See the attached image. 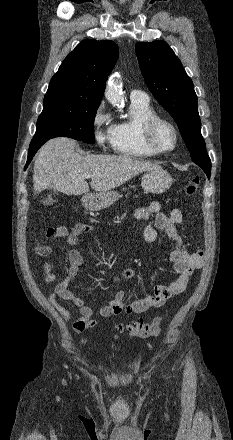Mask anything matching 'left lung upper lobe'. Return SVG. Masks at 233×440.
Masks as SVG:
<instances>
[{
	"mask_svg": "<svg viewBox=\"0 0 233 440\" xmlns=\"http://www.w3.org/2000/svg\"><path fill=\"white\" fill-rule=\"evenodd\" d=\"M136 55L148 88L176 121L192 160L209 161L201 135L197 96L179 58L164 41L138 42Z\"/></svg>",
	"mask_w": 233,
	"mask_h": 440,
	"instance_id": "obj_1",
	"label": "left lung upper lobe"
}]
</instances>
